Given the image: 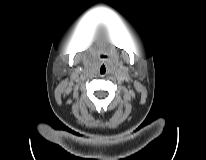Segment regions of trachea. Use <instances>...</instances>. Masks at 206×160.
Masks as SVG:
<instances>
[{"instance_id":"3493384b","label":"trachea","mask_w":206,"mask_h":160,"mask_svg":"<svg viewBox=\"0 0 206 160\" xmlns=\"http://www.w3.org/2000/svg\"><path fill=\"white\" fill-rule=\"evenodd\" d=\"M103 68V67H102ZM101 68V73H103V69Z\"/></svg>"}]
</instances>
